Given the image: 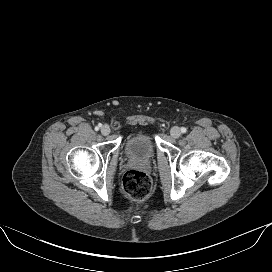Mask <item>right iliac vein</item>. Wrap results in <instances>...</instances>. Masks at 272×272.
Masks as SVG:
<instances>
[{"instance_id":"right-iliac-vein-1","label":"right iliac vein","mask_w":272,"mask_h":272,"mask_svg":"<svg viewBox=\"0 0 272 272\" xmlns=\"http://www.w3.org/2000/svg\"><path fill=\"white\" fill-rule=\"evenodd\" d=\"M101 133L103 135H108L110 133V127L108 125H103L101 128Z\"/></svg>"}]
</instances>
